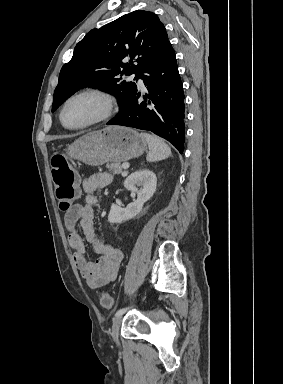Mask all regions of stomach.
<instances>
[{
	"mask_svg": "<svg viewBox=\"0 0 283 384\" xmlns=\"http://www.w3.org/2000/svg\"><path fill=\"white\" fill-rule=\"evenodd\" d=\"M147 148L145 138L141 134L123 128V126H108L98 132H90L70 144L65 152L73 160L84 162L88 166H102L106 162H127L139 158Z\"/></svg>",
	"mask_w": 283,
	"mask_h": 384,
	"instance_id": "0dacf381",
	"label": "stomach"
}]
</instances>
